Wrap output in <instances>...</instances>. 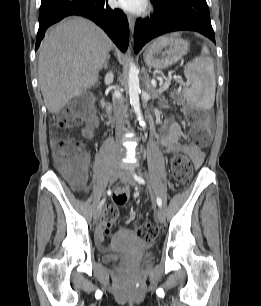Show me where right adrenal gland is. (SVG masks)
I'll return each instance as SVG.
<instances>
[{
	"label": "right adrenal gland",
	"instance_id": "right-adrenal-gland-1",
	"mask_svg": "<svg viewBox=\"0 0 261 306\" xmlns=\"http://www.w3.org/2000/svg\"><path fill=\"white\" fill-rule=\"evenodd\" d=\"M110 56L108 57L107 61L102 65V67L100 68L101 70L103 68L108 69V62H109Z\"/></svg>",
	"mask_w": 261,
	"mask_h": 306
}]
</instances>
